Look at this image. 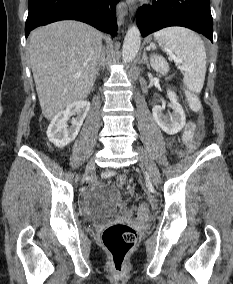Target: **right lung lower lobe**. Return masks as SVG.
Listing matches in <instances>:
<instances>
[{"instance_id": "1", "label": "right lung lower lobe", "mask_w": 233, "mask_h": 284, "mask_svg": "<svg viewBox=\"0 0 233 284\" xmlns=\"http://www.w3.org/2000/svg\"><path fill=\"white\" fill-rule=\"evenodd\" d=\"M119 0H29L25 36L34 28L59 20H78L115 36Z\"/></svg>"}]
</instances>
